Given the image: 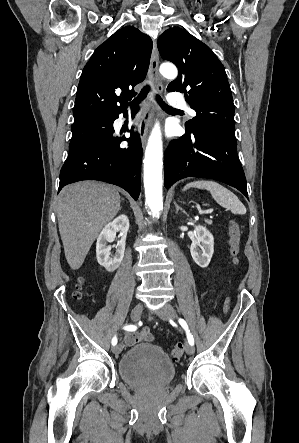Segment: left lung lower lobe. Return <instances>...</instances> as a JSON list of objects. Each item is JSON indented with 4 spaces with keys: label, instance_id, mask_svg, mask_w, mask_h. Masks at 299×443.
<instances>
[{
    "label": "left lung lower lobe",
    "instance_id": "left-lung-lower-lobe-1",
    "mask_svg": "<svg viewBox=\"0 0 299 443\" xmlns=\"http://www.w3.org/2000/svg\"><path fill=\"white\" fill-rule=\"evenodd\" d=\"M164 171L166 188L186 177H202L233 186L248 198L236 139L217 130L186 131L178 140L171 141L165 155Z\"/></svg>",
    "mask_w": 299,
    "mask_h": 443
}]
</instances>
